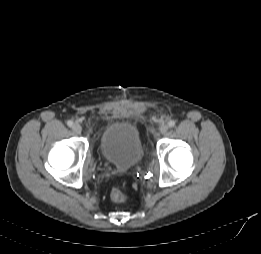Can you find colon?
Returning a JSON list of instances; mask_svg holds the SVG:
<instances>
[{
	"label": "colon",
	"mask_w": 261,
	"mask_h": 254,
	"mask_svg": "<svg viewBox=\"0 0 261 254\" xmlns=\"http://www.w3.org/2000/svg\"><path fill=\"white\" fill-rule=\"evenodd\" d=\"M110 198L116 203H122L126 200V195L120 189L113 188L110 192Z\"/></svg>",
	"instance_id": "obj_1"
}]
</instances>
